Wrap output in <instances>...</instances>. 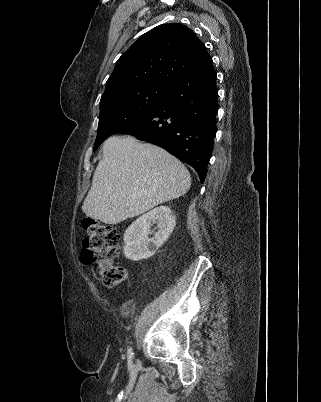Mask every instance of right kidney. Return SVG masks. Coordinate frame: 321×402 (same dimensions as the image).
<instances>
[{
  "label": "right kidney",
  "mask_w": 321,
  "mask_h": 402,
  "mask_svg": "<svg viewBox=\"0 0 321 402\" xmlns=\"http://www.w3.org/2000/svg\"><path fill=\"white\" fill-rule=\"evenodd\" d=\"M157 221L158 230L149 238L151 226ZM175 227V216L168 206L156 207L140 216L125 231L124 255L132 261L152 257L168 239Z\"/></svg>",
  "instance_id": "ca27d5eb"
}]
</instances>
